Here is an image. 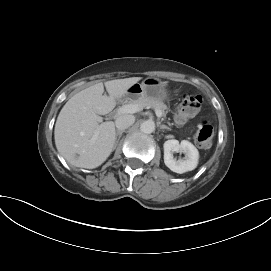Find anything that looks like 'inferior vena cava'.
<instances>
[{"label": "inferior vena cava", "instance_id": "602c4592", "mask_svg": "<svg viewBox=\"0 0 271 271\" xmlns=\"http://www.w3.org/2000/svg\"><path fill=\"white\" fill-rule=\"evenodd\" d=\"M135 122V117L132 115H120L116 118L115 124L118 130H125Z\"/></svg>", "mask_w": 271, "mask_h": 271}]
</instances>
